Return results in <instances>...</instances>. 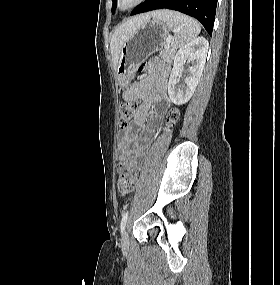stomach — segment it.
<instances>
[{
  "mask_svg": "<svg viewBox=\"0 0 280 285\" xmlns=\"http://www.w3.org/2000/svg\"><path fill=\"white\" fill-rule=\"evenodd\" d=\"M169 37L167 24L160 19L143 23L124 42L116 67V76L122 89L128 87L136 67L153 52L161 49Z\"/></svg>",
  "mask_w": 280,
  "mask_h": 285,
  "instance_id": "0dacf381",
  "label": "stomach"
}]
</instances>
